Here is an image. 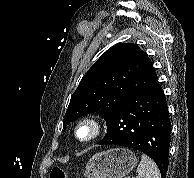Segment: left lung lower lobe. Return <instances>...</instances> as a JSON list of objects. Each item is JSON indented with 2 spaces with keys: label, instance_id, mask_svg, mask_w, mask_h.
Here are the masks:
<instances>
[{
  "label": "left lung lower lobe",
  "instance_id": "left-lung-lower-lobe-1",
  "mask_svg": "<svg viewBox=\"0 0 194 178\" xmlns=\"http://www.w3.org/2000/svg\"><path fill=\"white\" fill-rule=\"evenodd\" d=\"M106 121L108 132L98 144L139 150L151 157L162 178L166 177L171 122L158 79L119 104Z\"/></svg>",
  "mask_w": 194,
  "mask_h": 178
}]
</instances>
